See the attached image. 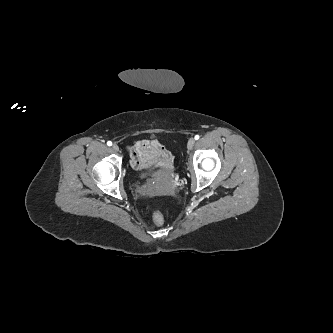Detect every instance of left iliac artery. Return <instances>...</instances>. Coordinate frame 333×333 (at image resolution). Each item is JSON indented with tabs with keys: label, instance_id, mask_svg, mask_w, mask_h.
<instances>
[{
	"label": "left iliac artery",
	"instance_id": "left-iliac-artery-1",
	"mask_svg": "<svg viewBox=\"0 0 333 333\" xmlns=\"http://www.w3.org/2000/svg\"><path fill=\"white\" fill-rule=\"evenodd\" d=\"M198 139H199V135H196V136H195V140H198Z\"/></svg>",
	"mask_w": 333,
	"mask_h": 333
}]
</instances>
